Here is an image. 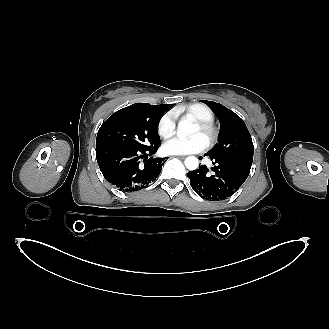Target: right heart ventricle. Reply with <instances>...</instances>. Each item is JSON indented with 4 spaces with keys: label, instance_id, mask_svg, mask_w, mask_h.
Instances as JSON below:
<instances>
[{
    "label": "right heart ventricle",
    "instance_id": "e07e8e85",
    "mask_svg": "<svg viewBox=\"0 0 329 329\" xmlns=\"http://www.w3.org/2000/svg\"><path fill=\"white\" fill-rule=\"evenodd\" d=\"M176 114H182L185 117L192 118L196 121H213L214 119L213 111L202 103H192L182 106L176 110Z\"/></svg>",
    "mask_w": 329,
    "mask_h": 329
}]
</instances>
